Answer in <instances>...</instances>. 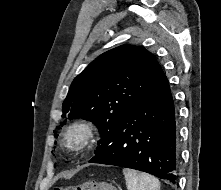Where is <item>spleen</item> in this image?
<instances>
[{"instance_id":"1","label":"spleen","mask_w":221,"mask_h":190,"mask_svg":"<svg viewBox=\"0 0 221 190\" xmlns=\"http://www.w3.org/2000/svg\"><path fill=\"white\" fill-rule=\"evenodd\" d=\"M123 174L128 190H160L159 180L149 174L128 168L123 169Z\"/></svg>"}]
</instances>
